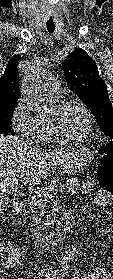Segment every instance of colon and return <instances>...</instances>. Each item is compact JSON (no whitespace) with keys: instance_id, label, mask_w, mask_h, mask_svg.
Listing matches in <instances>:
<instances>
[{"instance_id":"5ec220e1","label":"colon","mask_w":113,"mask_h":279,"mask_svg":"<svg viewBox=\"0 0 113 279\" xmlns=\"http://www.w3.org/2000/svg\"><path fill=\"white\" fill-rule=\"evenodd\" d=\"M100 164L97 168V182L101 192L113 195V144L100 147ZM2 250L3 253H2ZM0 276L6 265L20 260V252L16 248L6 250L0 245Z\"/></svg>"}]
</instances>
